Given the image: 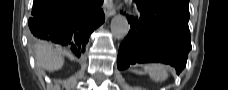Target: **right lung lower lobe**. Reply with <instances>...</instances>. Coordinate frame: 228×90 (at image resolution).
I'll return each instance as SVG.
<instances>
[{
  "label": "right lung lower lobe",
  "mask_w": 228,
  "mask_h": 90,
  "mask_svg": "<svg viewBox=\"0 0 228 90\" xmlns=\"http://www.w3.org/2000/svg\"><path fill=\"white\" fill-rule=\"evenodd\" d=\"M103 0H34L31 35L67 46L80 57L90 34L105 20Z\"/></svg>",
  "instance_id": "1"
}]
</instances>
